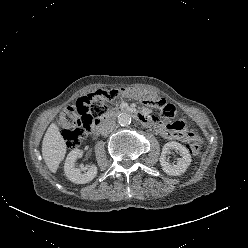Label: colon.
Masks as SVG:
<instances>
[{"mask_svg": "<svg viewBox=\"0 0 248 248\" xmlns=\"http://www.w3.org/2000/svg\"><path fill=\"white\" fill-rule=\"evenodd\" d=\"M128 94L137 97L144 104L155 107L160 111V117L166 121L172 120L176 115V108L149 92L131 89H111L81 96L76 103L66 108L59 116V124L62 134L69 149L77 148L85 133L93 123L107 112L105 101L114 100L120 95ZM192 155L201 152V143L193 141L188 145Z\"/></svg>", "mask_w": 248, "mask_h": 248, "instance_id": "obj_1", "label": "colon"}]
</instances>
